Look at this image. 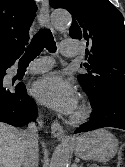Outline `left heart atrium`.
<instances>
[{
  "instance_id": "1",
  "label": "left heart atrium",
  "mask_w": 125,
  "mask_h": 167,
  "mask_svg": "<svg viewBox=\"0 0 125 167\" xmlns=\"http://www.w3.org/2000/svg\"><path fill=\"white\" fill-rule=\"evenodd\" d=\"M31 92L41 104L64 114L72 113L77 107V95L72 83L57 72L38 79Z\"/></svg>"
}]
</instances>
